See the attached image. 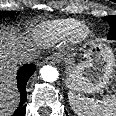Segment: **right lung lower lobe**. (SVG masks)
Instances as JSON below:
<instances>
[{
  "label": "right lung lower lobe",
  "instance_id": "98d812e1",
  "mask_svg": "<svg viewBox=\"0 0 116 116\" xmlns=\"http://www.w3.org/2000/svg\"><path fill=\"white\" fill-rule=\"evenodd\" d=\"M34 71H35V66L33 64H27L18 70L17 85L21 94V100L19 107L17 108V110L14 112L12 116H25V112H26L25 102L27 101L26 84Z\"/></svg>",
  "mask_w": 116,
  "mask_h": 116
}]
</instances>
